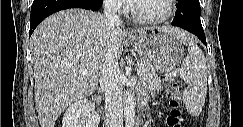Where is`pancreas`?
<instances>
[{
	"mask_svg": "<svg viewBox=\"0 0 243 127\" xmlns=\"http://www.w3.org/2000/svg\"><path fill=\"white\" fill-rule=\"evenodd\" d=\"M139 68H143L144 69V74H142V79L146 80L149 85L150 88L153 91H157L161 88L162 85V81L160 79V77L156 74L155 70L145 61H141ZM165 80H172L171 78H166Z\"/></svg>",
	"mask_w": 243,
	"mask_h": 127,
	"instance_id": "cf45deb5",
	"label": "pancreas"
}]
</instances>
